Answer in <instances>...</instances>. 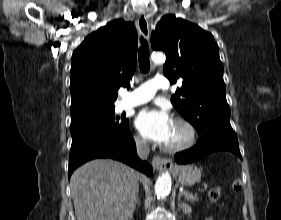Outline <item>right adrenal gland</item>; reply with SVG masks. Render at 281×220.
Here are the masks:
<instances>
[{"label": "right adrenal gland", "mask_w": 281, "mask_h": 220, "mask_svg": "<svg viewBox=\"0 0 281 220\" xmlns=\"http://www.w3.org/2000/svg\"><path fill=\"white\" fill-rule=\"evenodd\" d=\"M136 205H140V199H139V196H137V198H136L135 208H136Z\"/></svg>", "instance_id": "1"}]
</instances>
